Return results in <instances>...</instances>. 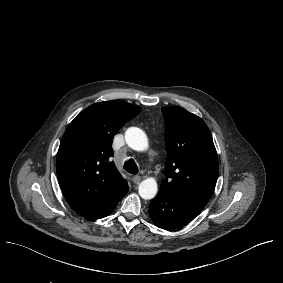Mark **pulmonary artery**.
<instances>
[{"mask_svg":"<svg viewBox=\"0 0 283 283\" xmlns=\"http://www.w3.org/2000/svg\"><path fill=\"white\" fill-rule=\"evenodd\" d=\"M148 161H149L150 163H155V162L157 161V156H156L155 154H150V155L148 156Z\"/></svg>","mask_w":283,"mask_h":283,"instance_id":"1","label":"pulmonary artery"}]
</instances>
